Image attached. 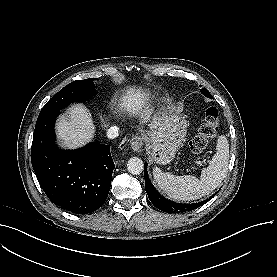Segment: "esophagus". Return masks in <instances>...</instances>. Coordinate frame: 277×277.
Instances as JSON below:
<instances>
[{"mask_svg":"<svg viewBox=\"0 0 277 277\" xmlns=\"http://www.w3.org/2000/svg\"><path fill=\"white\" fill-rule=\"evenodd\" d=\"M143 138L140 135H136L132 140H131V148L135 152H141L143 149Z\"/></svg>","mask_w":277,"mask_h":277,"instance_id":"esophagus-1","label":"esophagus"}]
</instances>
